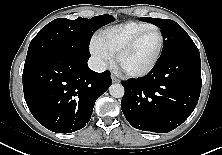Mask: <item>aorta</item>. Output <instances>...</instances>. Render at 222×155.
<instances>
[{
  "label": "aorta",
  "instance_id": "1",
  "mask_svg": "<svg viewBox=\"0 0 222 155\" xmlns=\"http://www.w3.org/2000/svg\"><path fill=\"white\" fill-rule=\"evenodd\" d=\"M109 92L112 97L121 98L124 95V87L119 83H115L110 86Z\"/></svg>",
  "mask_w": 222,
  "mask_h": 155
}]
</instances>
